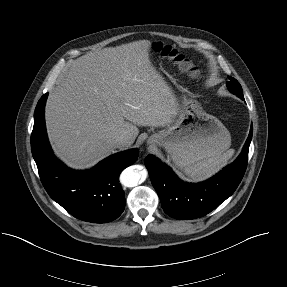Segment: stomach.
I'll return each instance as SVG.
<instances>
[{
	"instance_id": "obj_1",
	"label": "stomach",
	"mask_w": 287,
	"mask_h": 287,
	"mask_svg": "<svg viewBox=\"0 0 287 287\" xmlns=\"http://www.w3.org/2000/svg\"><path fill=\"white\" fill-rule=\"evenodd\" d=\"M148 142L163 147L179 168L221 155L231 146V136L222 122L206 113L201 104L181 97L177 119L150 136Z\"/></svg>"
}]
</instances>
